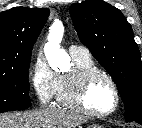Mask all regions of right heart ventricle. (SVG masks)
Segmentation results:
<instances>
[{
    "label": "right heart ventricle",
    "instance_id": "obj_1",
    "mask_svg": "<svg viewBox=\"0 0 142 128\" xmlns=\"http://www.w3.org/2000/svg\"><path fill=\"white\" fill-rule=\"evenodd\" d=\"M73 61L75 63L76 69H92L97 68L93 62V60L90 58H73ZM56 97V103L57 105L63 107V108H72L69 98H68V86H67V76L60 75L58 76V87L55 94Z\"/></svg>",
    "mask_w": 142,
    "mask_h": 128
}]
</instances>
